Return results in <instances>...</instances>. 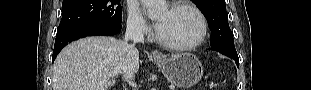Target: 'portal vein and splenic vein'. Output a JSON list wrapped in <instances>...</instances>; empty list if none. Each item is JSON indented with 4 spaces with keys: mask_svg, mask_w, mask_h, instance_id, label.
<instances>
[{
    "mask_svg": "<svg viewBox=\"0 0 311 90\" xmlns=\"http://www.w3.org/2000/svg\"><path fill=\"white\" fill-rule=\"evenodd\" d=\"M130 84H131L132 86H136L134 83H131V82H130Z\"/></svg>",
    "mask_w": 311,
    "mask_h": 90,
    "instance_id": "18ae733b",
    "label": "portal vein and splenic vein"
}]
</instances>
